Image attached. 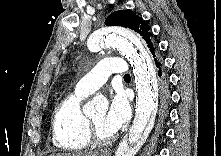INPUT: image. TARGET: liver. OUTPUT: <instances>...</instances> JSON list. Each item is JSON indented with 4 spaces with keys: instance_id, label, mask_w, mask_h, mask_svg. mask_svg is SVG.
<instances>
[{
    "instance_id": "1",
    "label": "liver",
    "mask_w": 221,
    "mask_h": 156,
    "mask_svg": "<svg viewBox=\"0 0 221 156\" xmlns=\"http://www.w3.org/2000/svg\"><path fill=\"white\" fill-rule=\"evenodd\" d=\"M98 152H81V153H57L51 156H98Z\"/></svg>"
}]
</instances>
